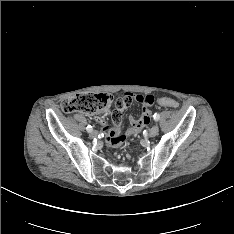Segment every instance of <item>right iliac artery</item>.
<instances>
[{
    "label": "right iliac artery",
    "mask_w": 234,
    "mask_h": 234,
    "mask_svg": "<svg viewBox=\"0 0 234 234\" xmlns=\"http://www.w3.org/2000/svg\"><path fill=\"white\" fill-rule=\"evenodd\" d=\"M86 130H87V132H89V133L92 132V130H93V129H92V126H91V125H88L87 128H86Z\"/></svg>",
    "instance_id": "obj_1"
}]
</instances>
